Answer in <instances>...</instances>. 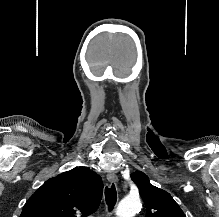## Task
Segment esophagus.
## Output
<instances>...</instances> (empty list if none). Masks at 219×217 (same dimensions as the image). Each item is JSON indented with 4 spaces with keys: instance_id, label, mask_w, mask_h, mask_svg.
<instances>
[{
    "instance_id": "obj_1",
    "label": "esophagus",
    "mask_w": 219,
    "mask_h": 217,
    "mask_svg": "<svg viewBox=\"0 0 219 217\" xmlns=\"http://www.w3.org/2000/svg\"><path fill=\"white\" fill-rule=\"evenodd\" d=\"M118 181L117 175L114 172H109L107 174V182L109 184L116 183Z\"/></svg>"
}]
</instances>
